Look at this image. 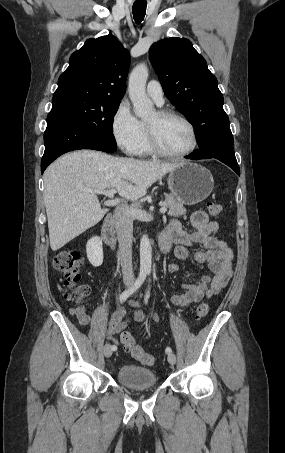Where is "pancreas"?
<instances>
[{
	"instance_id": "pancreas-1",
	"label": "pancreas",
	"mask_w": 285,
	"mask_h": 453,
	"mask_svg": "<svg viewBox=\"0 0 285 453\" xmlns=\"http://www.w3.org/2000/svg\"><path fill=\"white\" fill-rule=\"evenodd\" d=\"M165 206L169 208L168 215L174 217L186 216V209L173 195L165 194Z\"/></svg>"
}]
</instances>
